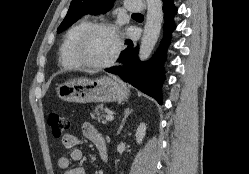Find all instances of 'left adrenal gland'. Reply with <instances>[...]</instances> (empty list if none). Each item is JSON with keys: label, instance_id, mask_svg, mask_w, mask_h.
Returning a JSON list of instances; mask_svg holds the SVG:
<instances>
[{"label": "left adrenal gland", "instance_id": "left-adrenal-gland-1", "mask_svg": "<svg viewBox=\"0 0 249 174\" xmlns=\"http://www.w3.org/2000/svg\"><path fill=\"white\" fill-rule=\"evenodd\" d=\"M131 113H132V109H130V108H127V109L124 110V117H123L122 123H121V125H120V127H119V129L117 131V135H119L121 133V131H122L123 127H124L125 121H126L127 117Z\"/></svg>", "mask_w": 249, "mask_h": 174}]
</instances>
